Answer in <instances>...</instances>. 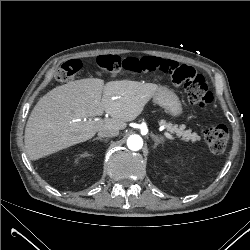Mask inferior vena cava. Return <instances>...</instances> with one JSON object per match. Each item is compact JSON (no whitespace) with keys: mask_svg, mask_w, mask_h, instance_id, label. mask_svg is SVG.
Listing matches in <instances>:
<instances>
[{"mask_svg":"<svg viewBox=\"0 0 250 250\" xmlns=\"http://www.w3.org/2000/svg\"><path fill=\"white\" fill-rule=\"evenodd\" d=\"M119 134V130L116 128L101 129L98 131L99 137H115Z\"/></svg>","mask_w":250,"mask_h":250,"instance_id":"1","label":"inferior vena cava"}]
</instances>
